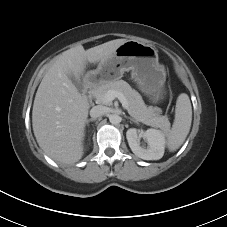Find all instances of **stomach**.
I'll use <instances>...</instances> for the list:
<instances>
[{"label": "stomach", "instance_id": "0dacf381", "mask_svg": "<svg viewBox=\"0 0 227 227\" xmlns=\"http://www.w3.org/2000/svg\"><path fill=\"white\" fill-rule=\"evenodd\" d=\"M126 71L139 88L156 101L164 95L166 69L159 63L158 51L151 45L137 40H127L112 56L99 63L87 76L95 82L117 81Z\"/></svg>", "mask_w": 227, "mask_h": 227}]
</instances>
